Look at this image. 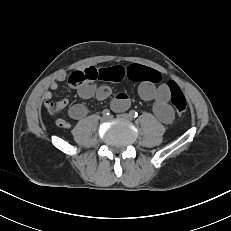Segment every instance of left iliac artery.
Instances as JSON below:
<instances>
[{
    "instance_id": "44dca946",
    "label": "left iliac artery",
    "mask_w": 231,
    "mask_h": 231,
    "mask_svg": "<svg viewBox=\"0 0 231 231\" xmlns=\"http://www.w3.org/2000/svg\"><path fill=\"white\" fill-rule=\"evenodd\" d=\"M129 114H130L131 117H134V118H136L138 116V113L135 110H131L129 112Z\"/></svg>"
}]
</instances>
